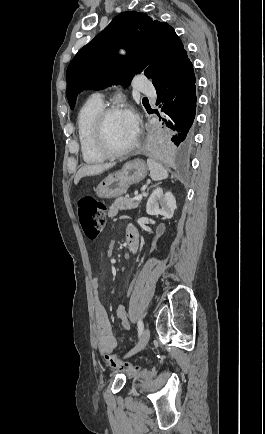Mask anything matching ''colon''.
I'll use <instances>...</instances> for the list:
<instances>
[{"mask_svg":"<svg viewBox=\"0 0 265 434\" xmlns=\"http://www.w3.org/2000/svg\"><path fill=\"white\" fill-rule=\"evenodd\" d=\"M75 208L84 237L88 240H95L105 223L106 214L104 205H101L99 200L93 197H87L77 201ZM105 360L108 365L113 364V369H121L127 372L132 371L133 373L137 372L140 375L148 374L153 376L155 374V371L147 372L143 369H138L136 364L130 366L132 365V360L122 363L120 356L113 357L106 355Z\"/></svg>","mask_w":265,"mask_h":434,"instance_id":"5ec220e1","label":"colon"}]
</instances>
